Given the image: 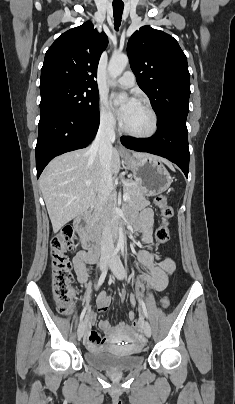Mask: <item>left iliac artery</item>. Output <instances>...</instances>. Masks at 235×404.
I'll return each mask as SVG.
<instances>
[{
    "instance_id": "obj_1",
    "label": "left iliac artery",
    "mask_w": 235,
    "mask_h": 404,
    "mask_svg": "<svg viewBox=\"0 0 235 404\" xmlns=\"http://www.w3.org/2000/svg\"><path fill=\"white\" fill-rule=\"evenodd\" d=\"M121 253H122V255H124V249L123 248L121 249ZM139 303H140V306H141V308L143 310V313H144L145 317L148 318L147 309H146L145 303H144L142 298L139 299Z\"/></svg>"
}]
</instances>
